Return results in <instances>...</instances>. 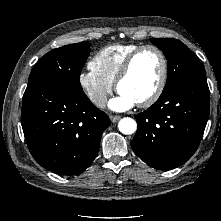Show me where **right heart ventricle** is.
I'll list each match as a JSON object with an SVG mask.
<instances>
[{"mask_svg": "<svg viewBox=\"0 0 221 221\" xmlns=\"http://www.w3.org/2000/svg\"><path fill=\"white\" fill-rule=\"evenodd\" d=\"M140 46L136 43L106 46L93 56L90 67L101 77L115 83L116 77L128 55Z\"/></svg>", "mask_w": 221, "mask_h": 221, "instance_id": "e07e8e85", "label": "right heart ventricle"}]
</instances>
